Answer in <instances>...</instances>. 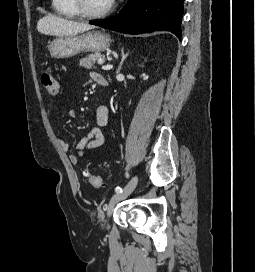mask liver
<instances>
[{
  "label": "liver",
  "mask_w": 255,
  "mask_h": 272,
  "mask_svg": "<svg viewBox=\"0 0 255 272\" xmlns=\"http://www.w3.org/2000/svg\"><path fill=\"white\" fill-rule=\"evenodd\" d=\"M94 28L93 25L70 21L52 14L41 18L37 23L38 32L52 36H68Z\"/></svg>",
  "instance_id": "1"
}]
</instances>
